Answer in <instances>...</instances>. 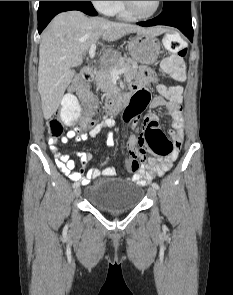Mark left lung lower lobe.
<instances>
[{"label":"left lung lower lobe","mask_w":233,"mask_h":295,"mask_svg":"<svg viewBox=\"0 0 233 295\" xmlns=\"http://www.w3.org/2000/svg\"><path fill=\"white\" fill-rule=\"evenodd\" d=\"M138 24L145 27L154 25L173 26L178 28L192 42L191 1H174L163 7V12L158 17Z\"/></svg>","instance_id":"0a47b994"}]
</instances>
